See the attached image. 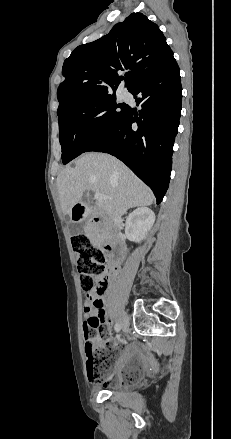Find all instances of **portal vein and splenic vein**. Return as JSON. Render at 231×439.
<instances>
[{
    "instance_id": "portal-vein-and-splenic-vein-1",
    "label": "portal vein and splenic vein",
    "mask_w": 231,
    "mask_h": 439,
    "mask_svg": "<svg viewBox=\"0 0 231 439\" xmlns=\"http://www.w3.org/2000/svg\"><path fill=\"white\" fill-rule=\"evenodd\" d=\"M94 198H95L97 201H102V200L105 198V196L102 195L101 193H95Z\"/></svg>"
}]
</instances>
